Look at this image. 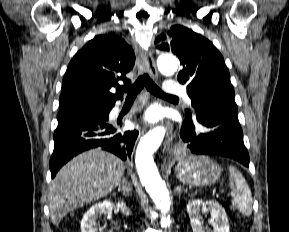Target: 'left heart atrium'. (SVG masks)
<instances>
[{"label":"left heart atrium","instance_id":"left-heart-atrium-1","mask_svg":"<svg viewBox=\"0 0 289 232\" xmlns=\"http://www.w3.org/2000/svg\"><path fill=\"white\" fill-rule=\"evenodd\" d=\"M160 119V114L157 110L155 109H149L144 117V120L147 123H155Z\"/></svg>","mask_w":289,"mask_h":232}]
</instances>
